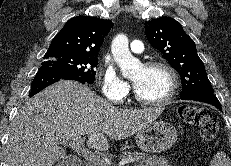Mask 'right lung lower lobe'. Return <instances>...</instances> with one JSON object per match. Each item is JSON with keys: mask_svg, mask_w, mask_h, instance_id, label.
Instances as JSON below:
<instances>
[{"mask_svg": "<svg viewBox=\"0 0 231 166\" xmlns=\"http://www.w3.org/2000/svg\"><path fill=\"white\" fill-rule=\"evenodd\" d=\"M75 80L81 83H87L82 77L64 72L62 70L53 68V67H47V66H41L35 75V78L32 81L31 85V91L29 94V97H32L33 95L37 94L47 86L61 80Z\"/></svg>", "mask_w": 231, "mask_h": 166, "instance_id": "obj_1", "label": "right lung lower lobe"}]
</instances>
